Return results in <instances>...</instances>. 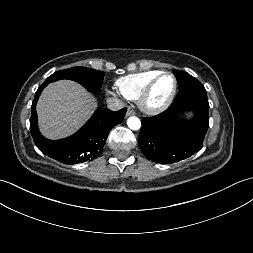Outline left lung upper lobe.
<instances>
[{
  "label": "left lung upper lobe",
  "mask_w": 253,
  "mask_h": 253,
  "mask_svg": "<svg viewBox=\"0 0 253 253\" xmlns=\"http://www.w3.org/2000/svg\"><path fill=\"white\" fill-rule=\"evenodd\" d=\"M173 73L177 79L179 89L182 87H186L190 85L192 82L197 80L196 78L191 76L189 73H186L184 71L174 70Z\"/></svg>",
  "instance_id": "5c2ea615"
}]
</instances>
